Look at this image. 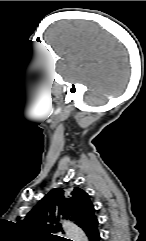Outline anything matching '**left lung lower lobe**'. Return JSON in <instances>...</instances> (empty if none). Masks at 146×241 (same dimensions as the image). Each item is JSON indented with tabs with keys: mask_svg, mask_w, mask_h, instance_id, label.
Wrapping results in <instances>:
<instances>
[{
	"mask_svg": "<svg viewBox=\"0 0 146 241\" xmlns=\"http://www.w3.org/2000/svg\"><path fill=\"white\" fill-rule=\"evenodd\" d=\"M83 231L87 235L89 241H99L100 234L98 232V220H94L83 228Z\"/></svg>",
	"mask_w": 146,
	"mask_h": 241,
	"instance_id": "1",
	"label": "left lung lower lobe"
}]
</instances>
